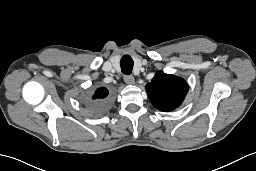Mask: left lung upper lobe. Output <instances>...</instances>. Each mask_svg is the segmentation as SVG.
I'll use <instances>...</instances> for the list:
<instances>
[{
	"mask_svg": "<svg viewBox=\"0 0 256 171\" xmlns=\"http://www.w3.org/2000/svg\"><path fill=\"white\" fill-rule=\"evenodd\" d=\"M145 88L152 105L161 111L180 106L188 92L184 79L164 72H157Z\"/></svg>",
	"mask_w": 256,
	"mask_h": 171,
	"instance_id": "5c2ea615",
	"label": "left lung upper lobe"
}]
</instances>
